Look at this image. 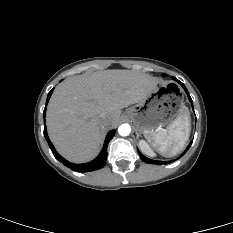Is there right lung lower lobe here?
Masks as SVG:
<instances>
[{
	"label": "right lung lower lobe",
	"mask_w": 233,
	"mask_h": 233,
	"mask_svg": "<svg viewBox=\"0 0 233 233\" xmlns=\"http://www.w3.org/2000/svg\"><path fill=\"white\" fill-rule=\"evenodd\" d=\"M53 92V89L49 92L48 96H47V101H46V105L50 99V96ZM45 113H46V107L44 109V112H43V115L45 117ZM45 121V119H44ZM115 134V130H111L107 136H106V139H105V142H104V146H103V149L102 151L100 152V154L97 156L96 159H94L93 161L89 162V163H85V164H73V163H70L68 162L67 160H65L63 157H61L55 150L53 144L51 143V141L49 140V137L47 135V129H46V126L44 125V136L48 142V145L53 153V155L55 156V158L62 162L65 166L75 170V171H79V172H89V171H94V170H97V169H100L102 168L105 163H106V159H107V145L109 143V141L112 139V137L114 136Z\"/></svg>",
	"instance_id": "obj_1"
}]
</instances>
